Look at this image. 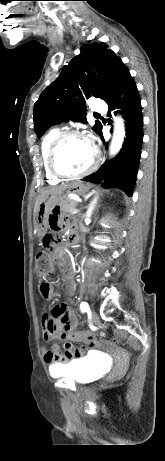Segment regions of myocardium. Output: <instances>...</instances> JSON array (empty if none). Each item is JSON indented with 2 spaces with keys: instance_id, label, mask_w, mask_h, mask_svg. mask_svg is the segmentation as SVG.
I'll use <instances>...</instances> for the list:
<instances>
[{
  "instance_id": "f54148a6",
  "label": "myocardium",
  "mask_w": 165,
  "mask_h": 461,
  "mask_svg": "<svg viewBox=\"0 0 165 461\" xmlns=\"http://www.w3.org/2000/svg\"><path fill=\"white\" fill-rule=\"evenodd\" d=\"M71 137H82L86 139L85 135L77 130H66V131L59 133L56 136V138L52 141L49 147L48 154H47V167H48L49 172L55 177L64 178V179L82 178L90 174L91 172H93L98 166L99 155H98L97 150L95 148H92L93 149V160L91 164L85 170L79 173H65L58 168L56 159H57L59 148L66 139L71 138Z\"/></svg>"
}]
</instances>
